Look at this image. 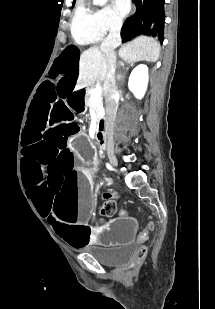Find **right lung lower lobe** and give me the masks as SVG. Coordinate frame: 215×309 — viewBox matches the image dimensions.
Masks as SVG:
<instances>
[{
	"mask_svg": "<svg viewBox=\"0 0 215 309\" xmlns=\"http://www.w3.org/2000/svg\"><path fill=\"white\" fill-rule=\"evenodd\" d=\"M136 12L129 17L122 29V41H128L137 34L157 36L160 41L164 35L165 0H133Z\"/></svg>",
	"mask_w": 215,
	"mask_h": 309,
	"instance_id": "right-lung-lower-lobe-1",
	"label": "right lung lower lobe"
}]
</instances>
